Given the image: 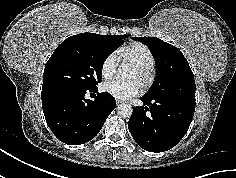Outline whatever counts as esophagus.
I'll return each mask as SVG.
<instances>
[{"label": "esophagus", "mask_w": 236, "mask_h": 178, "mask_svg": "<svg viewBox=\"0 0 236 178\" xmlns=\"http://www.w3.org/2000/svg\"><path fill=\"white\" fill-rule=\"evenodd\" d=\"M121 103H122L121 100H116V104H117V105H119V104H121Z\"/></svg>", "instance_id": "esophagus-1"}]
</instances>
